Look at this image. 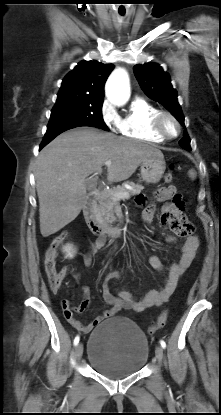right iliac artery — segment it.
<instances>
[{
    "label": "right iliac artery",
    "mask_w": 221,
    "mask_h": 415,
    "mask_svg": "<svg viewBox=\"0 0 221 415\" xmlns=\"http://www.w3.org/2000/svg\"><path fill=\"white\" fill-rule=\"evenodd\" d=\"M79 340H80L79 336H76L74 339V345H77L79 343Z\"/></svg>",
    "instance_id": "82829eb1"
}]
</instances>
